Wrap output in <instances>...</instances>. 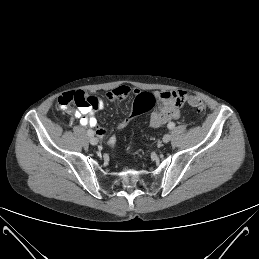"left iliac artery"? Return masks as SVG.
<instances>
[{"mask_svg":"<svg viewBox=\"0 0 259 259\" xmlns=\"http://www.w3.org/2000/svg\"><path fill=\"white\" fill-rule=\"evenodd\" d=\"M175 127V124L173 122H170L168 124V129L172 130Z\"/></svg>","mask_w":259,"mask_h":259,"instance_id":"44dca946","label":"left iliac artery"}]
</instances>
